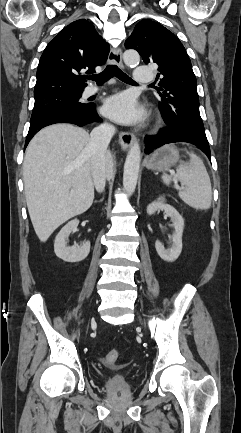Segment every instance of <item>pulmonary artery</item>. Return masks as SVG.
I'll list each match as a JSON object with an SVG mask.
<instances>
[{
	"label": "pulmonary artery",
	"mask_w": 241,
	"mask_h": 433,
	"mask_svg": "<svg viewBox=\"0 0 241 433\" xmlns=\"http://www.w3.org/2000/svg\"><path fill=\"white\" fill-rule=\"evenodd\" d=\"M153 80L151 70L146 66H137L134 69V81L138 84H147ZM97 91L95 87H88L84 91V96H90Z\"/></svg>",
	"instance_id": "obj_1"
}]
</instances>
